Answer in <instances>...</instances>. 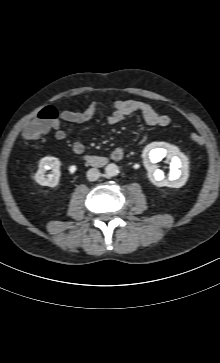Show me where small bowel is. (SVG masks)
Wrapping results in <instances>:
<instances>
[{"label":"small bowel","instance_id":"1","mask_svg":"<svg viewBox=\"0 0 220 363\" xmlns=\"http://www.w3.org/2000/svg\"><path fill=\"white\" fill-rule=\"evenodd\" d=\"M101 105L99 102L91 103L85 110L83 111H70L65 110L60 113V117L52 124V129L54 131L55 138L57 140H64L66 138V133L63 129H61V122H70V123H86L90 121L95 114L97 108ZM112 113L107 118V122L110 125L118 124L124 120H126L132 114H139L145 124L149 126H157V127H166L170 124L171 120L169 116L165 114H160L155 111L150 105L147 103L137 101V100H116L112 103ZM147 139V135L143 134L138 144L142 145ZM84 145L83 143L76 141L73 144V151L77 155H81L84 153ZM123 152L120 148H117L113 151L112 155Z\"/></svg>","mask_w":220,"mask_h":363}]
</instances>
